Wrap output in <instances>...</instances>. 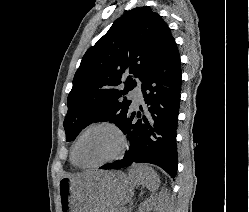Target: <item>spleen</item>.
Returning a JSON list of instances; mask_svg holds the SVG:
<instances>
[{"mask_svg": "<svg viewBox=\"0 0 249 212\" xmlns=\"http://www.w3.org/2000/svg\"><path fill=\"white\" fill-rule=\"evenodd\" d=\"M156 176L154 170L152 168H147L146 172V186L151 190V192H155L158 188V184H156Z\"/></svg>", "mask_w": 249, "mask_h": 212, "instance_id": "1", "label": "spleen"}]
</instances>
